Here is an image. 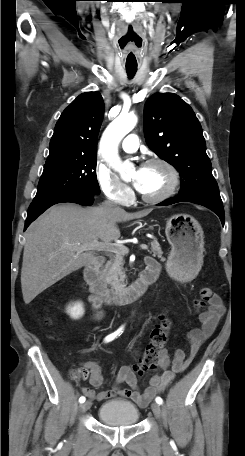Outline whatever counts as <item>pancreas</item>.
<instances>
[{
	"label": "pancreas",
	"instance_id": "pancreas-1",
	"mask_svg": "<svg viewBox=\"0 0 245 456\" xmlns=\"http://www.w3.org/2000/svg\"><path fill=\"white\" fill-rule=\"evenodd\" d=\"M150 254L154 257H158L161 261H165L162 256L163 251L156 241H151ZM126 253L121 250L115 254L110 255V260L106 263L103 269L102 275L106 283L111 287V291H119L124 287L125 273L123 271L124 260L123 257Z\"/></svg>",
	"mask_w": 245,
	"mask_h": 456
}]
</instances>
